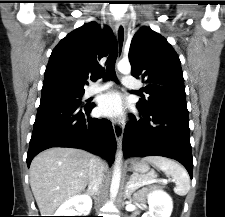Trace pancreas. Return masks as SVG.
Wrapping results in <instances>:
<instances>
[{"label": "pancreas", "instance_id": "obj_1", "mask_svg": "<svg viewBox=\"0 0 225 217\" xmlns=\"http://www.w3.org/2000/svg\"><path fill=\"white\" fill-rule=\"evenodd\" d=\"M151 178H152V173L144 174V175H139V174L131 175V177L129 179V183L134 184L135 186L129 189L130 192L131 193L134 192L139 187H141L143 185V183L147 182Z\"/></svg>", "mask_w": 225, "mask_h": 217}]
</instances>
